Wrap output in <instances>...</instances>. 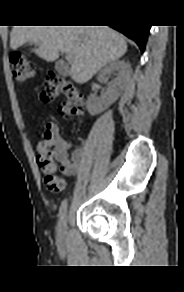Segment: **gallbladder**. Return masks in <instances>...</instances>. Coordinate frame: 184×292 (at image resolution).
Wrapping results in <instances>:
<instances>
[{"label": "gallbladder", "instance_id": "obj_1", "mask_svg": "<svg viewBox=\"0 0 184 292\" xmlns=\"http://www.w3.org/2000/svg\"><path fill=\"white\" fill-rule=\"evenodd\" d=\"M55 69L62 76H67L69 74V66L68 65H65L62 63H56Z\"/></svg>", "mask_w": 184, "mask_h": 292}]
</instances>
